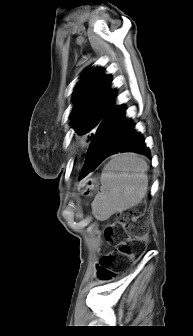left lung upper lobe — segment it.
Masks as SVG:
<instances>
[{
    "label": "left lung upper lobe",
    "instance_id": "5c2ea615",
    "mask_svg": "<svg viewBox=\"0 0 193 336\" xmlns=\"http://www.w3.org/2000/svg\"><path fill=\"white\" fill-rule=\"evenodd\" d=\"M110 83V75H105L99 68L83 74L75 88V104L70 114L72 127L78 134L96 130L104 116L114 107L115 89H110Z\"/></svg>",
    "mask_w": 193,
    "mask_h": 336
}]
</instances>
